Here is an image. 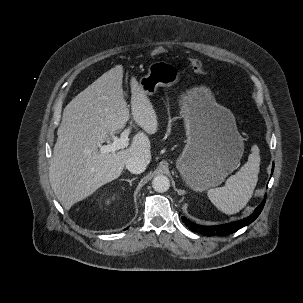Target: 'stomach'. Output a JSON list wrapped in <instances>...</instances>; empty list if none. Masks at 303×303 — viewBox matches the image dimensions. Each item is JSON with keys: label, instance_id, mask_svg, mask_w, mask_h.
Here are the masks:
<instances>
[{"label": "stomach", "instance_id": "0dacf381", "mask_svg": "<svg viewBox=\"0 0 303 303\" xmlns=\"http://www.w3.org/2000/svg\"><path fill=\"white\" fill-rule=\"evenodd\" d=\"M180 73L169 62L156 61L139 81L146 95L169 87ZM187 135L186 146L176 162L184 182L195 191L220 185L237 167L244 152L243 138L233 113L216 103L205 86L194 87L179 100Z\"/></svg>", "mask_w": 303, "mask_h": 303}]
</instances>
